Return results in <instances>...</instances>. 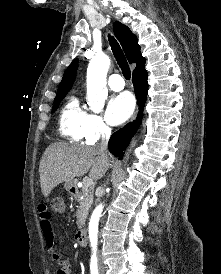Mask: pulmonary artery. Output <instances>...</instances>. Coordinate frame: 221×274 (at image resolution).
Masks as SVG:
<instances>
[{
    "instance_id": "e3ab8cb5",
    "label": "pulmonary artery",
    "mask_w": 221,
    "mask_h": 274,
    "mask_svg": "<svg viewBox=\"0 0 221 274\" xmlns=\"http://www.w3.org/2000/svg\"><path fill=\"white\" fill-rule=\"evenodd\" d=\"M108 85L114 91H121L124 88V80L119 74H112L108 78Z\"/></svg>"
}]
</instances>
